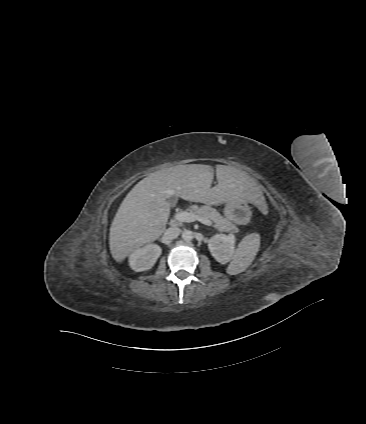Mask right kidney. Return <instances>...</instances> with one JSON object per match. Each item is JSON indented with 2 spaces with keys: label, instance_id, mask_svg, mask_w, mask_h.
Instances as JSON below:
<instances>
[{
  "label": "right kidney",
  "instance_id": "ca27d5eb",
  "mask_svg": "<svg viewBox=\"0 0 366 424\" xmlns=\"http://www.w3.org/2000/svg\"><path fill=\"white\" fill-rule=\"evenodd\" d=\"M162 253V249L157 244H148L135 250L129 256V265L136 271H146L151 269Z\"/></svg>",
  "mask_w": 366,
  "mask_h": 424
}]
</instances>
